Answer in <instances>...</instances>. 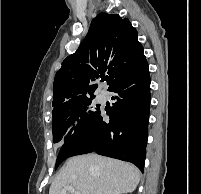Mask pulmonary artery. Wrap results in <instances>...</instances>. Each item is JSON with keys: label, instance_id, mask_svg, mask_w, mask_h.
Listing matches in <instances>:
<instances>
[{"label": "pulmonary artery", "instance_id": "e3ab8cb5", "mask_svg": "<svg viewBox=\"0 0 201 194\" xmlns=\"http://www.w3.org/2000/svg\"><path fill=\"white\" fill-rule=\"evenodd\" d=\"M106 99V95L104 94V93H102L101 95H100V100L101 101H104Z\"/></svg>", "mask_w": 201, "mask_h": 194}]
</instances>
